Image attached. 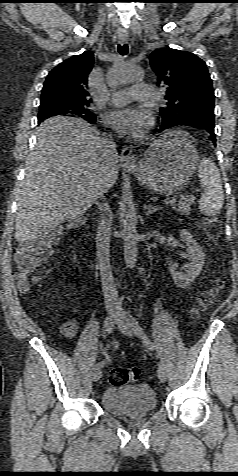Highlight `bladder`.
Returning <instances> with one entry per match:
<instances>
[{"label":"bladder","instance_id":"obj_1","mask_svg":"<svg viewBox=\"0 0 238 476\" xmlns=\"http://www.w3.org/2000/svg\"><path fill=\"white\" fill-rule=\"evenodd\" d=\"M102 408L115 416H132L149 413L156 408L157 398L146 384L113 385L101 395Z\"/></svg>","mask_w":238,"mask_h":476}]
</instances>
